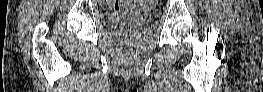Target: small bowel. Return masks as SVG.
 Returning a JSON list of instances; mask_svg holds the SVG:
<instances>
[{"label":"small bowel","mask_w":263,"mask_h":92,"mask_svg":"<svg viewBox=\"0 0 263 92\" xmlns=\"http://www.w3.org/2000/svg\"><path fill=\"white\" fill-rule=\"evenodd\" d=\"M131 3H124V5H130Z\"/></svg>","instance_id":"small-bowel-1"}]
</instances>
